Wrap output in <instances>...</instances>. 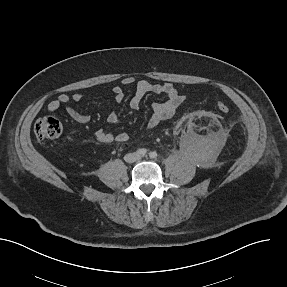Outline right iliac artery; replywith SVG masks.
Returning a JSON list of instances; mask_svg holds the SVG:
<instances>
[{
	"label": "right iliac artery",
	"mask_w": 287,
	"mask_h": 287,
	"mask_svg": "<svg viewBox=\"0 0 287 287\" xmlns=\"http://www.w3.org/2000/svg\"><path fill=\"white\" fill-rule=\"evenodd\" d=\"M136 154H137L138 156H144V155L147 154V150L144 149V148L138 149V150L136 151Z\"/></svg>",
	"instance_id": "82829eb1"
}]
</instances>
